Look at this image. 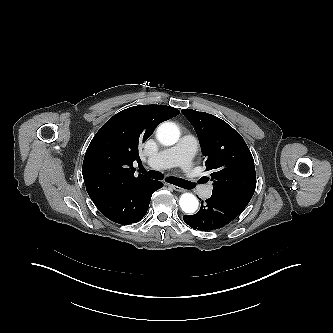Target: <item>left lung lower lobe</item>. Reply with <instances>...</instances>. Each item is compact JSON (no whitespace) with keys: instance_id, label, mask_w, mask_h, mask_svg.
Here are the masks:
<instances>
[{"instance_id":"obj_1","label":"left lung lower lobe","mask_w":333,"mask_h":333,"mask_svg":"<svg viewBox=\"0 0 333 333\" xmlns=\"http://www.w3.org/2000/svg\"><path fill=\"white\" fill-rule=\"evenodd\" d=\"M242 211L212 195L204 203L202 201L199 212L194 215H184V222L194 229L211 231L219 229L233 219Z\"/></svg>"}]
</instances>
